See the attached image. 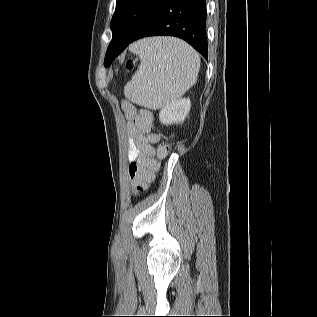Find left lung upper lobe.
I'll return each instance as SVG.
<instances>
[{"label": "left lung upper lobe", "mask_w": 317, "mask_h": 317, "mask_svg": "<svg viewBox=\"0 0 317 317\" xmlns=\"http://www.w3.org/2000/svg\"><path fill=\"white\" fill-rule=\"evenodd\" d=\"M163 1L117 0L111 21L113 32L111 42L122 44L129 42ZM112 61L110 55L106 53L105 66H109Z\"/></svg>", "instance_id": "obj_1"}]
</instances>
